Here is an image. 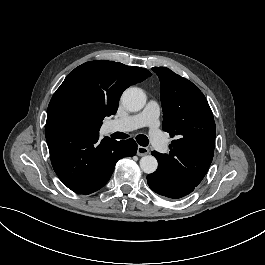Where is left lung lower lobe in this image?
<instances>
[{"label":"left lung lower lobe","mask_w":265,"mask_h":265,"mask_svg":"<svg viewBox=\"0 0 265 265\" xmlns=\"http://www.w3.org/2000/svg\"><path fill=\"white\" fill-rule=\"evenodd\" d=\"M152 155L158 160V169L147 176V183L155 193L168 198L179 199L191 193L198 186L162 162L154 152Z\"/></svg>","instance_id":"0a47b994"}]
</instances>
